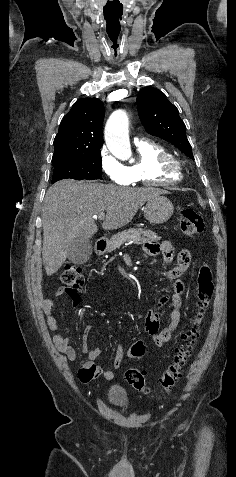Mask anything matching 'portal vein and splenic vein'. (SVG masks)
I'll list each match as a JSON object with an SVG mask.
<instances>
[{
    "mask_svg": "<svg viewBox=\"0 0 236 477\" xmlns=\"http://www.w3.org/2000/svg\"><path fill=\"white\" fill-rule=\"evenodd\" d=\"M93 218H94V219H99V220H104L105 214H104V213H101V214H99V215H94Z\"/></svg>",
    "mask_w": 236,
    "mask_h": 477,
    "instance_id": "portal-vein-and-splenic-vein-1",
    "label": "portal vein and splenic vein"
}]
</instances>
